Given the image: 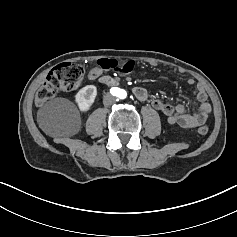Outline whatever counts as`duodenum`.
<instances>
[{
  "instance_id": "1",
  "label": "duodenum",
  "mask_w": 237,
  "mask_h": 237,
  "mask_svg": "<svg viewBox=\"0 0 237 237\" xmlns=\"http://www.w3.org/2000/svg\"><path fill=\"white\" fill-rule=\"evenodd\" d=\"M99 82L105 86H109V87H112V86H116L118 85V81L111 78V77H108V76H104V77H101L99 79Z\"/></svg>"
}]
</instances>
